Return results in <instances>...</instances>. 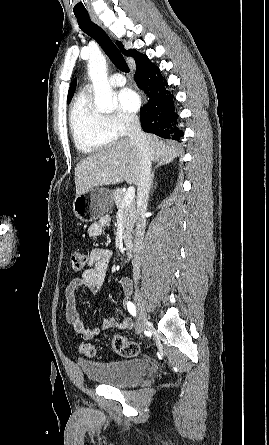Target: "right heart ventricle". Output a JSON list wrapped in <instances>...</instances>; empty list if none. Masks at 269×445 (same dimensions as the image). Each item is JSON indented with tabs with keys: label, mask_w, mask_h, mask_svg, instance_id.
Instances as JSON below:
<instances>
[{
	"label": "right heart ventricle",
	"mask_w": 269,
	"mask_h": 445,
	"mask_svg": "<svg viewBox=\"0 0 269 445\" xmlns=\"http://www.w3.org/2000/svg\"><path fill=\"white\" fill-rule=\"evenodd\" d=\"M69 123L74 144L84 154L95 153L117 138L107 123L106 115L93 107L86 89L76 96L70 109Z\"/></svg>",
	"instance_id": "right-heart-ventricle-1"
}]
</instances>
